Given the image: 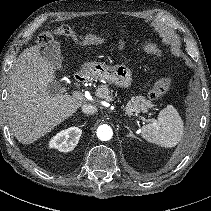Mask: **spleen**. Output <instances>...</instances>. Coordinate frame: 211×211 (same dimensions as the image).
<instances>
[{
    "label": "spleen",
    "mask_w": 211,
    "mask_h": 211,
    "mask_svg": "<svg viewBox=\"0 0 211 211\" xmlns=\"http://www.w3.org/2000/svg\"><path fill=\"white\" fill-rule=\"evenodd\" d=\"M183 121L172 105H167L158 115L157 123L146 124L141 129L142 137L161 147H174L183 137Z\"/></svg>",
    "instance_id": "obj_1"
}]
</instances>
